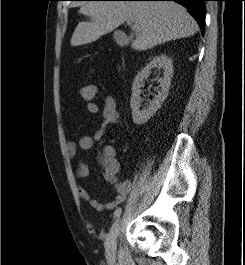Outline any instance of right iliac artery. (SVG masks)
I'll return each mask as SVG.
<instances>
[{
  "instance_id": "obj_1",
  "label": "right iliac artery",
  "mask_w": 245,
  "mask_h": 265,
  "mask_svg": "<svg viewBox=\"0 0 245 265\" xmlns=\"http://www.w3.org/2000/svg\"><path fill=\"white\" fill-rule=\"evenodd\" d=\"M122 209L118 207L114 212V219L118 218L121 215Z\"/></svg>"
}]
</instances>
